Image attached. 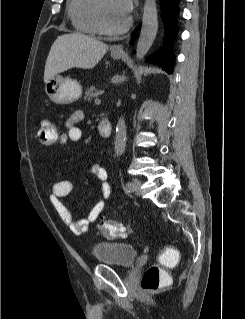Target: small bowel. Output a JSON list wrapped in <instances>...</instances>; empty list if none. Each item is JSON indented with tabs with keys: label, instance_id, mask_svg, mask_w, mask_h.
<instances>
[{
	"label": "small bowel",
	"instance_id": "obj_1",
	"mask_svg": "<svg viewBox=\"0 0 245 319\" xmlns=\"http://www.w3.org/2000/svg\"><path fill=\"white\" fill-rule=\"evenodd\" d=\"M84 118L82 110L75 111L65 122V130L59 138L60 145L77 143L82 139V130L77 124ZM93 174L101 184V197L93 205L88 215L80 220L75 221L70 210L62 203L61 198L70 194L73 190V183L70 180H59L53 184L50 200L53 207L58 212L61 220L70 227L76 235L87 233L91 225L97 220L102 211L106 208L112 196V189L109 183V175L105 168L94 165L91 168Z\"/></svg>",
	"mask_w": 245,
	"mask_h": 319
}]
</instances>
